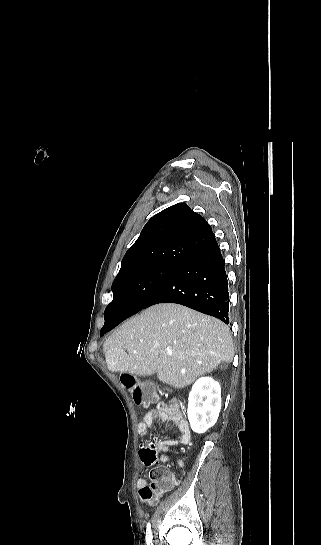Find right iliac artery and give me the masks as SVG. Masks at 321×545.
Masks as SVG:
<instances>
[{
    "mask_svg": "<svg viewBox=\"0 0 321 545\" xmlns=\"http://www.w3.org/2000/svg\"><path fill=\"white\" fill-rule=\"evenodd\" d=\"M146 544H147V545H153V543H152V532H151V526H150V524H147V530H146Z\"/></svg>",
    "mask_w": 321,
    "mask_h": 545,
    "instance_id": "right-iliac-artery-1",
    "label": "right iliac artery"
}]
</instances>
